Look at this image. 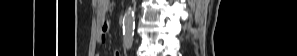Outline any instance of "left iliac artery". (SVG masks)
I'll use <instances>...</instances> for the list:
<instances>
[{
	"label": "left iliac artery",
	"instance_id": "left-iliac-artery-1",
	"mask_svg": "<svg viewBox=\"0 0 297 56\" xmlns=\"http://www.w3.org/2000/svg\"><path fill=\"white\" fill-rule=\"evenodd\" d=\"M132 43H133V34L126 35V37H125V44H126V47L128 49L132 46Z\"/></svg>",
	"mask_w": 297,
	"mask_h": 56
}]
</instances>
